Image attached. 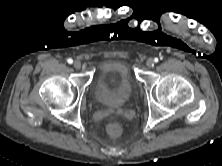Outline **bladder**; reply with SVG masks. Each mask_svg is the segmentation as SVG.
<instances>
[{
	"instance_id": "bladder-1",
	"label": "bladder",
	"mask_w": 222,
	"mask_h": 166,
	"mask_svg": "<svg viewBox=\"0 0 222 166\" xmlns=\"http://www.w3.org/2000/svg\"><path fill=\"white\" fill-rule=\"evenodd\" d=\"M108 78H117L114 88L106 85ZM133 94V82L125 64L118 62L106 66L94 85V98L104 107L119 108L126 105Z\"/></svg>"
}]
</instances>
